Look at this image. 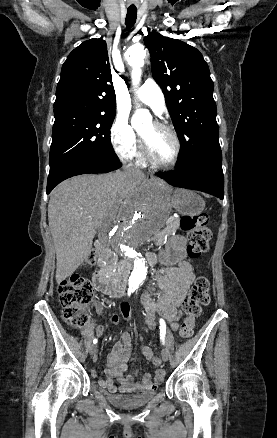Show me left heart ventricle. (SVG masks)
<instances>
[{"instance_id":"1","label":"left heart ventricle","mask_w":277,"mask_h":438,"mask_svg":"<svg viewBox=\"0 0 277 438\" xmlns=\"http://www.w3.org/2000/svg\"><path fill=\"white\" fill-rule=\"evenodd\" d=\"M139 134L147 140L154 157L161 162H169L174 156V140L166 132L154 126L153 122L146 124Z\"/></svg>"}]
</instances>
